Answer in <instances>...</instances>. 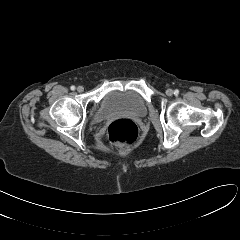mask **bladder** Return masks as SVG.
<instances>
[{"mask_svg":"<svg viewBox=\"0 0 240 240\" xmlns=\"http://www.w3.org/2000/svg\"><path fill=\"white\" fill-rule=\"evenodd\" d=\"M148 108L142 96L133 90L112 91L101 100L96 117L107 120L119 115L144 118Z\"/></svg>","mask_w":240,"mask_h":240,"instance_id":"1","label":"bladder"}]
</instances>
